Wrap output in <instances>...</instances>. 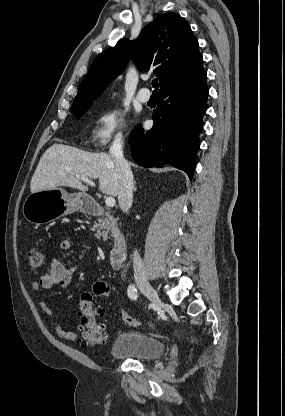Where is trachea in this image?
Returning <instances> with one entry per match:
<instances>
[{"instance_id":"trachea-1","label":"trachea","mask_w":285,"mask_h":416,"mask_svg":"<svg viewBox=\"0 0 285 416\" xmlns=\"http://www.w3.org/2000/svg\"><path fill=\"white\" fill-rule=\"evenodd\" d=\"M152 86L155 89L154 91L157 92V88H158V79L154 78V80L152 81Z\"/></svg>"}]
</instances>
